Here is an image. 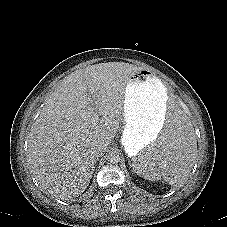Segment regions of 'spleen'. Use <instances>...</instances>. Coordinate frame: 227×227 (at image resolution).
Listing matches in <instances>:
<instances>
[{"mask_svg":"<svg viewBox=\"0 0 227 227\" xmlns=\"http://www.w3.org/2000/svg\"><path fill=\"white\" fill-rule=\"evenodd\" d=\"M197 155V141L191 122L179 108L166 114L163 140L142 148L129 160L130 169L148 180L163 179L179 185L190 174Z\"/></svg>","mask_w":227,"mask_h":227,"instance_id":"3e777b00","label":"spleen"}]
</instances>
